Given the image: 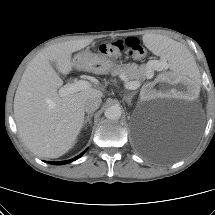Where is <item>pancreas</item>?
I'll return each mask as SVG.
<instances>
[{
	"label": "pancreas",
	"instance_id": "cf45deb5",
	"mask_svg": "<svg viewBox=\"0 0 215 215\" xmlns=\"http://www.w3.org/2000/svg\"><path fill=\"white\" fill-rule=\"evenodd\" d=\"M146 70V67L143 65L137 68L133 65L126 64L113 70L112 75H122L130 82L131 80H135V82L140 83L139 81L144 80L147 76Z\"/></svg>",
	"mask_w": 215,
	"mask_h": 215
}]
</instances>
